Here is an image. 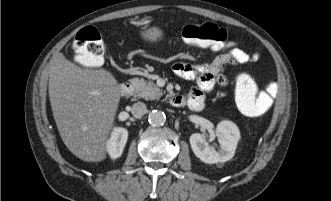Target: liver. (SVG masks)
Instances as JSON below:
<instances>
[{"mask_svg": "<svg viewBox=\"0 0 331 201\" xmlns=\"http://www.w3.org/2000/svg\"><path fill=\"white\" fill-rule=\"evenodd\" d=\"M49 98L66 147L87 162L106 158L108 136L120 101V87L105 69H83L62 53L49 65Z\"/></svg>", "mask_w": 331, "mask_h": 201, "instance_id": "obj_1", "label": "liver"}]
</instances>
